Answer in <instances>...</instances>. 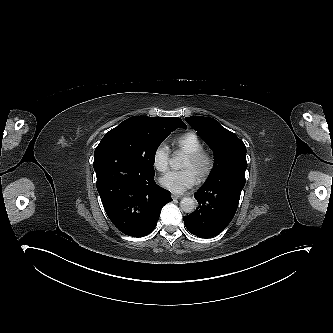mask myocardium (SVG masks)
I'll return each mask as SVG.
<instances>
[{
	"label": "myocardium",
	"mask_w": 333,
	"mask_h": 333,
	"mask_svg": "<svg viewBox=\"0 0 333 333\" xmlns=\"http://www.w3.org/2000/svg\"><path fill=\"white\" fill-rule=\"evenodd\" d=\"M188 160L192 163L199 178H204L209 174L212 164L207 155L198 153L196 155L189 156Z\"/></svg>",
	"instance_id": "obj_1"
}]
</instances>
